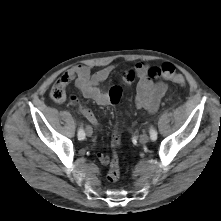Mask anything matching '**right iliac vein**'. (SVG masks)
Listing matches in <instances>:
<instances>
[{
  "mask_svg": "<svg viewBox=\"0 0 221 221\" xmlns=\"http://www.w3.org/2000/svg\"><path fill=\"white\" fill-rule=\"evenodd\" d=\"M85 131H86V135L87 136H89V137L92 136L93 130H92V128L90 126H87Z\"/></svg>",
  "mask_w": 221,
  "mask_h": 221,
  "instance_id": "1",
  "label": "right iliac vein"
}]
</instances>
